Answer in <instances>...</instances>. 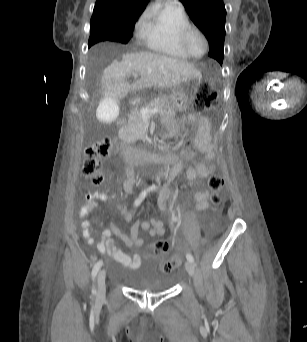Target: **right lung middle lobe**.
<instances>
[{
	"label": "right lung middle lobe",
	"mask_w": 307,
	"mask_h": 342,
	"mask_svg": "<svg viewBox=\"0 0 307 342\" xmlns=\"http://www.w3.org/2000/svg\"><path fill=\"white\" fill-rule=\"evenodd\" d=\"M131 36L132 32L108 31L91 27L88 46L90 47L95 43L104 40L116 41L126 44L130 40Z\"/></svg>",
	"instance_id": "obj_1"
}]
</instances>
